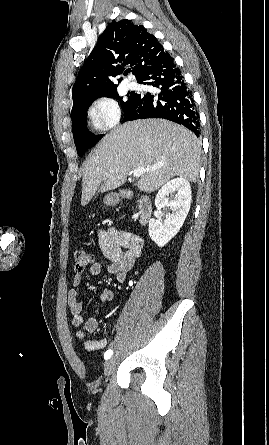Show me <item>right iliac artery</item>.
<instances>
[{"label":"right iliac artery","mask_w":269,"mask_h":445,"mask_svg":"<svg viewBox=\"0 0 269 445\" xmlns=\"http://www.w3.org/2000/svg\"><path fill=\"white\" fill-rule=\"evenodd\" d=\"M112 354H113V351L111 349L107 350L104 354V358L107 360L112 356Z\"/></svg>","instance_id":"1"}]
</instances>
